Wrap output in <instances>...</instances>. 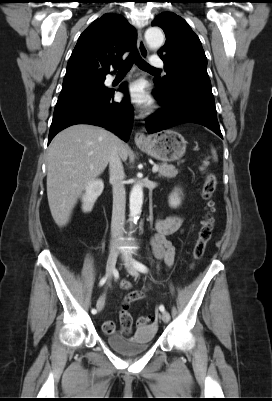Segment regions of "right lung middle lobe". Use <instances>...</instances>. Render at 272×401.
Segmentation results:
<instances>
[{
	"label": "right lung middle lobe",
	"mask_w": 272,
	"mask_h": 401,
	"mask_svg": "<svg viewBox=\"0 0 272 401\" xmlns=\"http://www.w3.org/2000/svg\"><path fill=\"white\" fill-rule=\"evenodd\" d=\"M107 88L104 86V80L93 82L84 86H80L73 89L62 90L58 101L71 98L76 95L86 94L91 92H104Z\"/></svg>",
	"instance_id": "right-lung-middle-lobe-1"
}]
</instances>
